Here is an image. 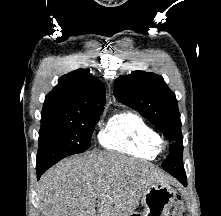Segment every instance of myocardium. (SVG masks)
<instances>
[{
  "instance_id": "1",
  "label": "myocardium",
  "mask_w": 221,
  "mask_h": 216,
  "mask_svg": "<svg viewBox=\"0 0 221 216\" xmlns=\"http://www.w3.org/2000/svg\"><path fill=\"white\" fill-rule=\"evenodd\" d=\"M154 146L158 152L163 151L167 147V142L160 136H156Z\"/></svg>"
}]
</instances>
